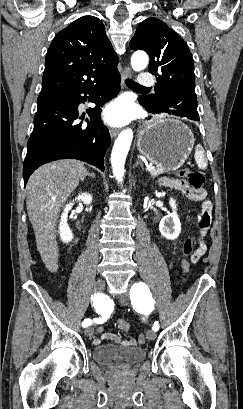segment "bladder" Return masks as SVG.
<instances>
[{"label":"bladder","mask_w":243,"mask_h":409,"mask_svg":"<svg viewBox=\"0 0 243 409\" xmlns=\"http://www.w3.org/2000/svg\"><path fill=\"white\" fill-rule=\"evenodd\" d=\"M93 359L102 365L113 368H130L146 357L142 347H124L113 344L96 346L92 351Z\"/></svg>","instance_id":"31cf9c89"}]
</instances>
